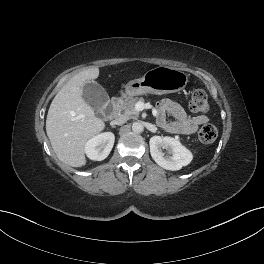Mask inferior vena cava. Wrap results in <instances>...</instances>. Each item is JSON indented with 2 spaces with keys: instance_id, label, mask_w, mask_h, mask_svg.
Listing matches in <instances>:
<instances>
[{
  "instance_id": "inferior-vena-cava-1",
  "label": "inferior vena cava",
  "mask_w": 264,
  "mask_h": 264,
  "mask_svg": "<svg viewBox=\"0 0 264 264\" xmlns=\"http://www.w3.org/2000/svg\"><path fill=\"white\" fill-rule=\"evenodd\" d=\"M126 121H127V118L121 116V117L116 118L115 120L111 121L110 124L112 126H114V125H123Z\"/></svg>"
}]
</instances>
